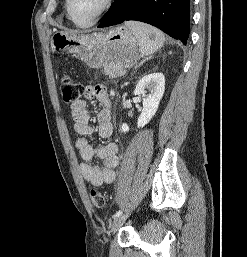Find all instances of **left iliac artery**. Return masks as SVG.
I'll return each mask as SVG.
<instances>
[{"mask_svg":"<svg viewBox=\"0 0 247 257\" xmlns=\"http://www.w3.org/2000/svg\"><path fill=\"white\" fill-rule=\"evenodd\" d=\"M121 214H122V210H119V211H117V212L113 215V217L116 218V217L120 216Z\"/></svg>","mask_w":247,"mask_h":257,"instance_id":"44dca946","label":"left iliac artery"}]
</instances>
